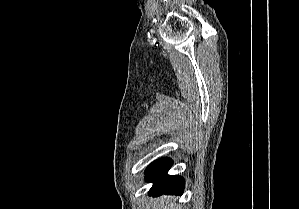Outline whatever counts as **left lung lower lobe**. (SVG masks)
<instances>
[{
    "mask_svg": "<svg viewBox=\"0 0 299 209\" xmlns=\"http://www.w3.org/2000/svg\"><path fill=\"white\" fill-rule=\"evenodd\" d=\"M172 160L161 158L151 163L145 173V179L153 182L149 195L161 194H182L184 189V180L180 176L167 175L171 167Z\"/></svg>",
    "mask_w": 299,
    "mask_h": 209,
    "instance_id": "1",
    "label": "left lung lower lobe"
}]
</instances>
